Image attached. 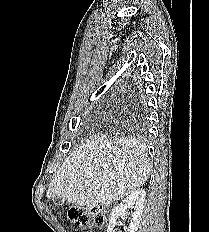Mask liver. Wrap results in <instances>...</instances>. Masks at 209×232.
<instances>
[{
    "instance_id": "1",
    "label": "liver",
    "mask_w": 209,
    "mask_h": 232,
    "mask_svg": "<svg viewBox=\"0 0 209 232\" xmlns=\"http://www.w3.org/2000/svg\"><path fill=\"white\" fill-rule=\"evenodd\" d=\"M149 175L148 149L139 139L94 136L64 160L46 196L78 207L108 205L141 187Z\"/></svg>"
}]
</instances>
